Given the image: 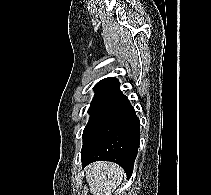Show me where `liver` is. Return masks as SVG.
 <instances>
[{
  "instance_id": "1",
  "label": "liver",
  "mask_w": 211,
  "mask_h": 195,
  "mask_svg": "<svg viewBox=\"0 0 211 195\" xmlns=\"http://www.w3.org/2000/svg\"><path fill=\"white\" fill-rule=\"evenodd\" d=\"M85 172L90 193L93 195H112L114 190L122 183L125 174L119 165L105 161L88 165Z\"/></svg>"
}]
</instances>
